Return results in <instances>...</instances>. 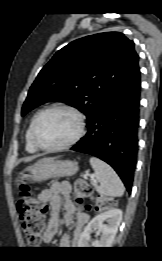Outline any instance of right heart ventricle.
Segmentation results:
<instances>
[{
	"label": "right heart ventricle",
	"mask_w": 162,
	"mask_h": 261,
	"mask_svg": "<svg viewBox=\"0 0 162 261\" xmlns=\"http://www.w3.org/2000/svg\"><path fill=\"white\" fill-rule=\"evenodd\" d=\"M34 122V118L31 120L28 129L25 134V143H26V150L30 153L37 152V148L33 145L32 139H31V129Z\"/></svg>",
	"instance_id": "1"
}]
</instances>
